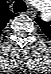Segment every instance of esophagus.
Segmentation results:
<instances>
[{"mask_svg": "<svg viewBox=\"0 0 51 74\" xmlns=\"http://www.w3.org/2000/svg\"><path fill=\"white\" fill-rule=\"evenodd\" d=\"M27 13L31 16H34L36 12L34 10L30 9L27 11Z\"/></svg>", "mask_w": 51, "mask_h": 74, "instance_id": "esophagus-1", "label": "esophagus"}]
</instances>
